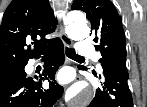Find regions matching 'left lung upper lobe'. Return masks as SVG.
<instances>
[{
    "mask_svg": "<svg viewBox=\"0 0 147 107\" xmlns=\"http://www.w3.org/2000/svg\"><path fill=\"white\" fill-rule=\"evenodd\" d=\"M71 9L84 11L90 19L100 63L113 56L126 57L122 20L110 0H74Z\"/></svg>",
    "mask_w": 147,
    "mask_h": 107,
    "instance_id": "5c2ea615",
    "label": "left lung upper lobe"
}]
</instances>
